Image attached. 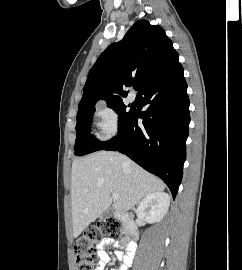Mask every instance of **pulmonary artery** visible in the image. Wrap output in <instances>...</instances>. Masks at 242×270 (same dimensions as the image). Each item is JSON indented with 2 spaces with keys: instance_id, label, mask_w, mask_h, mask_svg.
<instances>
[{
  "instance_id": "obj_1",
  "label": "pulmonary artery",
  "mask_w": 242,
  "mask_h": 270,
  "mask_svg": "<svg viewBox=\"0 0 242 270\" xmlns=\"http://www.w3.org/2000/svg\"><path fill=\"white\" fill-rule=\"evenodd\" d=\"M128 98L131 102L135 101L136 99V96H135V93L134 92H130L129 95H128Z\"/></svg>"
}]
</instances>
